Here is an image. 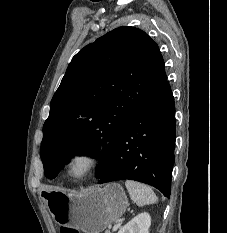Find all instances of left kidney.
Here are the masks:
<instances>
[{
	"label": "left kidney",
	"mask_w": 227,
	"mask_h": 233,
	"mask_svg": "<svg viewBox=\"0 0 227 233\" xmlns=\"http://www.w3.org/2000/svg\"><path fill=\"white\" fill-rule=\"evenodd\" d=\"M151 216L144 212L135 216L118 233H149Z\"/></svg>",
	"instance_id": "1"
}]
</instances>
